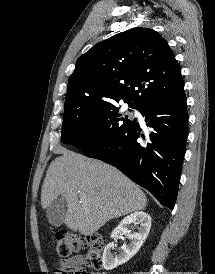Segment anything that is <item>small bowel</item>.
<instances>
[{
	"instance_id": "1",
	"label": "small bowel",
	"mask_w": 215,
	"mask_h": 274,
	"mask_svg": "<svg viewBox=\"0 0 215 274\" xmlns=\"http://www.w3.org/2000/svg\"><path fill=\"white\" fill-rule=\"evenodd\" d=\"M84 258L82 255L71 256L59 263V266L54 270L55 274H78L83 271ZM99 274H107L105 272Z\"/></svg>"
}]
</instances>
